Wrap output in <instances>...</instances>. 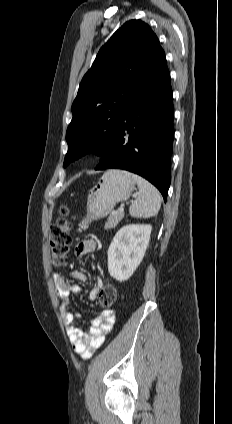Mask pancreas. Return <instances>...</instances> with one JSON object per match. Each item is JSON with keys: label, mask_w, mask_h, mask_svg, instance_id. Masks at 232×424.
Here are the masks:
<instances>
[{"label": "pancreas", "mask_w": 232, "mask_h": 424, "mask_svg": "<svg viewBox=\"0 0 232 424\" xmlns=\"http://www.w3.org/2000/svg\"><path fill=\"white\" fill-rule=\"evenodd\" d=\"M124 213L116 211L114 214L112 213L105 223V229H112L116 227V225L123 219Z\"/></svg>", "instance_id": "cf45deb5"}]
</instances>
